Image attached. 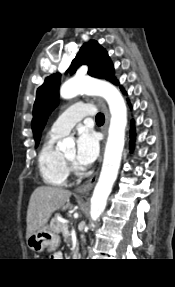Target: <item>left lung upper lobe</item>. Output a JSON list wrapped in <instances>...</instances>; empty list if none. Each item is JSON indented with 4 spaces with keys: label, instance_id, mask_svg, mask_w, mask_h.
Wrapping results in <instances>:
<instances>
[{
    "label": "left lung upper lobe",
    "instance_id": "left-lung-upper-lobe-1",
    "mask_svg": "<svg viewBox=\"0 0 175 287\" xmlns=\"http://www.w3.org/2000/svg\"><path fill=\"white\" fill-rule=\"evenodd\" d=\"M82 64L89 66L88 74L90 76L106 79L116 85L119 84L114 77V67L108 53L97 41L91 40L80 48L66 73L68 71L70 74L75 73ZM60 79V73L50 75L37 90L32 120L36 146L39 144L41 131L49 115L58 105Z\"/></svg>",
    "mask_w": 175,
    "mask_h": 287
}]
</instances>
